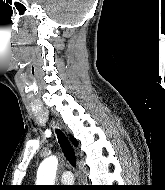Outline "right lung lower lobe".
I'll list each match as a JSON object with an SVG mask.
<instances>
[{"label": "right lung lower lobe", "mask_w": 165, "mask_h": 190, "mask_svg": "<svg viewBox=\"0 0 165 190\" xmlns=\"http://www.w3.org/2000/svg\"><path fill=\"white\" fill-rule=\"evenodd\" d=\"M82 190H93L90 186H82Z\"/></svg>", "instance_id": "1"}]
</instances>
